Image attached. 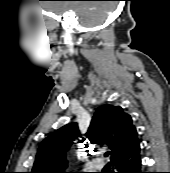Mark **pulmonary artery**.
<instances>
[{
  "instance_id": "1",
  "label": "pulmonary artery",
  "mask_w": 170,
  "mask_h": 173,
  "mask_svg": "<svg viewBox=\"0 0 170 173\" xmlns=\"http://www.w3.org/2000/svg\"><path fill=\"white\" fill-rule=\"evenodd\" d=\"M93 165H94L95 168L101 169L103 167L104 163L100 159H94L93 160Z\"/></svg>"
}]
</instances>
